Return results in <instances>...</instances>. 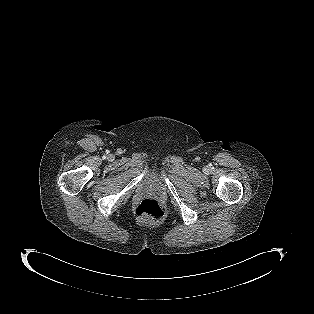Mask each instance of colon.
I'll use <instances>...</instances> for the list:
<instances>
[{
  "label": "colon",
  "mask_w": 314,
  "mask_h": 314,
  "mask_svg": "<svg viewBox=\"0 0 314 314\" xmlns=\"http://www.w3.org/2000/svg\"><path fill=\"white\" fill-rule=\"evenodd\" d=\"M135 213L139 218L158 220L164 216V211L160 204L154 199H144L135 208Z\"/></svg>",
  "instance_id": "1"
}]
</instances>
